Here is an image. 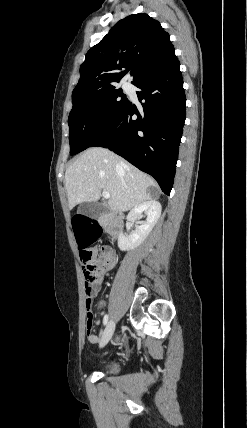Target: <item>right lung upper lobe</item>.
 Here are the masks:
<instances>
[{
  "mask_svg": "<svg viewBox=\"0 0 247 428\" xmlns=\"http://www.w3.org/2000/svg\"><path fill=\"white\" fill-rule=\"evenodd\" d=\"M174 56L169 34L157 20L147 14L130 15L87 52L72 99L115 87L128 70L135 85Z\"/></svg>",
  "mask_w": 247,
  "mask_h": 428,
  "instance_id": "obj_1",
  "label": "right lung upper lobe"
}]
</instances>
